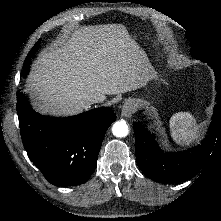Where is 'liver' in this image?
I'll return each instance as SVG.
<instances>
[{"label": "liver", "instance_id": "1", "mask_svg": "<svg viewBox=\"0 0 221 221\" xmlns=\"http://www.w3.org/2000/svg\"><path fill=\"white\" fill-rule=\"evenodd\" d=\"M149 80L147 55L124 25L84 26L41 52L26 91L41 113L73 115L92 95L125 93Z\"/></svg>", "mask_w": 221, "mask_h": 221}]
</instances>
